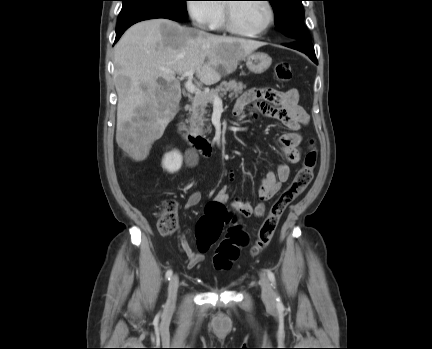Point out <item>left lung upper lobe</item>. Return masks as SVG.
I'll list each match as a JSON object with an SVG mask.
<instances>
[{
  "label": "left lung upper lobe",
  "mask_w": 432,
  "mask_h": 349,
  "mask_svg": "<svg viewBox=\"0 0 432 349\" xmlns=\"http://www.w3.org/2000/svg\"><path fill=\"white\" fill-rule=\"evenodd\" d=\"M275 12L276 28L292 40L311 41L304 25L302 0H268Z\"/></svg>",
  "instance_id": "obj_1"
}]
</instances>
